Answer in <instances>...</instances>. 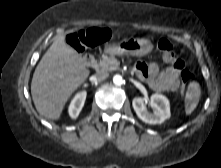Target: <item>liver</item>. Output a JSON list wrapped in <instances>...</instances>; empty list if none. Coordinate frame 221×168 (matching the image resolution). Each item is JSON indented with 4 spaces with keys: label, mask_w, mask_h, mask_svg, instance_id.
Here are the masks:
<instances>
[{
    "label": "liver",
    "mask_w": 221,
    "mask_h": 168,
    "mask_svg": "<svg viewBox=\"0 0 221 168\" xmlns=\"http://www.w3.org/2000/svg\"><path fill=\"white\" fill-rule=\"evenodd\" d=\"M90 71L83 58L59 35L38 63L31 82V94L38 113L60 118L72 93L86 81Z\"/></svg>",
    "instance_id": "liver-1"
}]
</instances>
